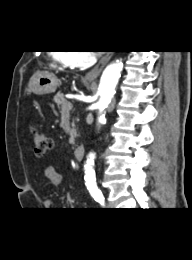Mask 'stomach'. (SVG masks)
Here are the masks:
<instances>
[{"mask_svg":"<svg viewBox=\"0 0 192 260\" xmlns=\"http://www.w3.org/2000/svg\"><path fill=\"white\" fill-rule=\"evenodd\" d=\"M59 85V80L55 75L51 73H37L31 78L29 89L37 95H45L54 93Z\"/></svg>","mask_w":192,"mask_h":260,"instance_id":"obj_1","label":"stomach"}]
</instances>
